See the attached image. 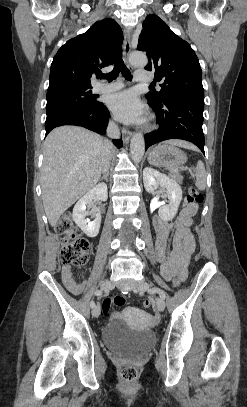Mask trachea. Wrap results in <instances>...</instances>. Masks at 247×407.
Here are the masks:
<instances>
[{
	"mask_svg": "<svg viewBox=\"0 0 247 407\" xmlns=\"http://www.w3.org/2000/svg\"><path fill=\"white\" fill-rule=\"evenodd\" d=\"M120 72L126 80H129V81L132 80V75L121 58V51H119L118 60L115 63L113 70L108 74H99L98 77L100 79H107L108 81H112V80H115L119 76ZM150 86H152V85H150Z\"/></svg>",
	"mask_w": 247,
	"mask_h": 407,
	"instance_id": "3493384b",
	"label": "trachea"
}]
</instances>
